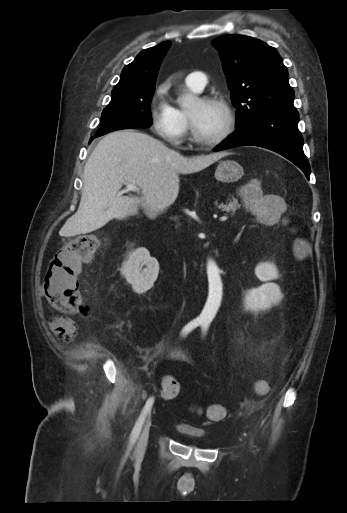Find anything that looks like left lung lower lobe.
Wrapping results in <instances>:
<instances>
[{
    "label": "left lung lower lobe",
    "instance_id": "obj_1",
    "mask_svg": "<svg viewBox=\"0 0 347 513\" xmlns=\"http://www.w3.org/2000/svg\"><path fill=\"white\" fill-rule=\"evenodd\" d=\"M297 111H275L259 115L237 130L215 151L237 146H259L281 154L298 166L309 179L310 166L303 152Z\"/></svg>",
    "mask_w": 347,
    "mask_h": 513
}]
</instances>
